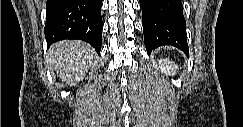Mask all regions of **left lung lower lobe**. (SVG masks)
<instances>
[{
    "label": "left lung lower lobe",
    "mask_w": 243,
    "mask_h": 127,
    "mask_svg": "<svg viewBox=\"0 0 243 127\" xmlns=\"http://www.w3.org/2000/svg\"><path fill=\"white\" fill-rule=\"evenodd\" d=\"M147 53L172 45L188 55L186 21L181 0H140Z\"/></svg>",
    "instance_id": "0a47b994"
}]
</instances>
